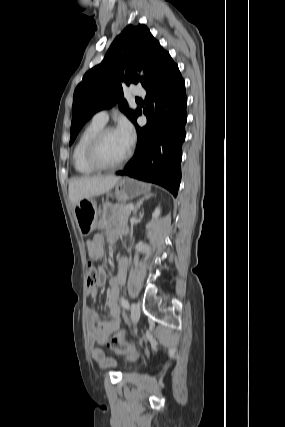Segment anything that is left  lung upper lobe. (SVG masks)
<instances>
[{
    "label": "left lung upper lobe",
    "mask_w": 285,
    "mask_h": 427,
    "mask_svg": "<svg viewBox=\"0 0 285 427\" xmlns=\"http://www.w3.org/2000/svg\"><path fill=\"white\" fill-rule=\"evenodd\" d=\"M168 53L145 25H128L111 44L104 60L83 77L74 92L70 144L83 125L99 110L120 101V109L134 122L140 109L127 108L123 86L141 83L146 87ZM143 69L148 78L132 70Z\"/></svg>",
    "instance_id": "5c2ea615"
}]
</instances>
